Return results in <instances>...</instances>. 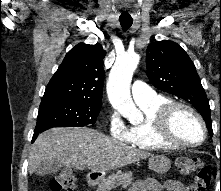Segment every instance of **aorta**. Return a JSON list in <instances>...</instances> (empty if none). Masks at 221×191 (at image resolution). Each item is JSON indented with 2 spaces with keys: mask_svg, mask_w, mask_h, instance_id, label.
I'll return each mask as SVG.
<instances>
[{
  "mask_svg": "<svg viewBox=\"0 0 221 191\" xmlns=\"http://www.w3.org/2000/svg\"><path fill=\"white\" fill-rule=\"evenodd\" d=\"M139 61L140 56L135 52L118 57L107 82V94L112 106L129 120L140 116L130 95L131 79Z\"/></svg>",
  "mask_w": 221,
  "mask_h": 191,
  "instance_id": "obj_1",
  "label": "aorta"
}]
</instances>
